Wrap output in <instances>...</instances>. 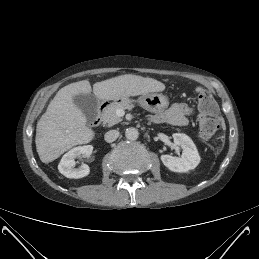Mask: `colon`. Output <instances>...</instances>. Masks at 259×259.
I'll return each instance as SVG.
<instances>
[{"label":"colon","instance_id":"1","mask_svg":"<svg viewBox=\"0 0 259 259\" xmlns=\"http://www.w3.org/2000/svg\"><path fill=\"white\" fill-rule=\"evenodd\" d=\"M201 114L198 118L199 132L204 139H211L217 133L220 124L217 118L218 107L212 95L204 89L197 91Z\"/></svg>","mask_w":259,"mask_h":259}]
</instances>
